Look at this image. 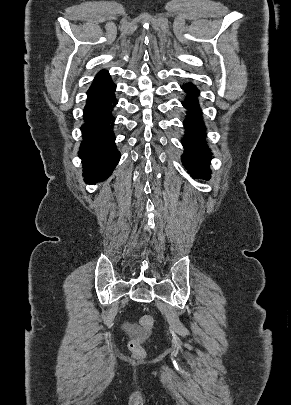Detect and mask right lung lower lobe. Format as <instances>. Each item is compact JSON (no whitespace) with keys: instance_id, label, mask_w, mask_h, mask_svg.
I'll return each instance as SVG.
<instances>
[{"instance_id":"obj_1","label":"right lung lower lobe","mask_w":291,"mask_h":405,"mask_svg":"<svg viewBox=\"0 0 291 405\" xmlns=\"http://www.w3.org/2000/svg\"><path fill=\"white\" fill-rule=\"evenodd\" d=\"M116 85L109 74L96 77L87 91L84 107V135L78 155L83 163V176L88 184L107 179L119 162L120 152L113 134L112 110L117 104Z\"/></svg>"}]
</instances>
